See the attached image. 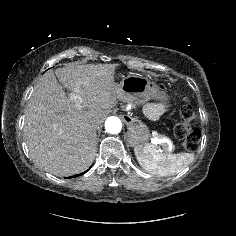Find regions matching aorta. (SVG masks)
Listing matches in <instances>:
<instances>
[{
	"mask_svg": "<svg viewBox=\"0 0 236 236\" xmlns=\"http://www.w3.org/2000/svg\"><path fill=\"white\" fill-rule=\"evenodd\" d=\"M105 129L110 134H118L122 129L121 120L115 116L107 118L105 122Z\"/></svg>",
	"mask_w": 236,
	"mask_h": 236,
	"instance_id": "aorta-1",
	"label": "aorta"
}]
</instances>
